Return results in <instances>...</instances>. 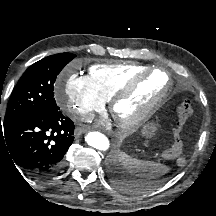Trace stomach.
Wrapping results in <instances>:
<instances>
[{"label":"stomach","instance_id":"stomach-1","mask_svg":"<svg viewBox=\"0 0 216 216\" xmlns=\"http://www.w3.org/2000/svg\"><path fill=\"white\" fill-rule=\"evenodd\" d=\"M156 125L154 123H148L143 128V134L146 136H152L156 132Z\"/></svg>","mask_w":216,"mask_h":216}]
</instances>
